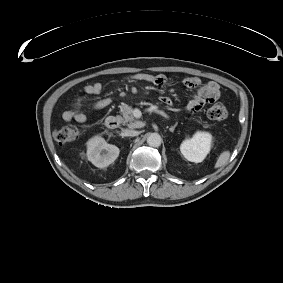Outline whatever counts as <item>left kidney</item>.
<instances>
[{"instance_id": "1", "label": "left kidney", "mask_w": 283, "mask_h": 283, "mask_svg": "<svg viewBox=\"0 0 283 283\" xmlns=\"http://www.w3.org/2000/svg\"><path fill=\"white\" fill-rule=\"evenodd\" d=\"M212 136L207 132H196L191 139H186L180 146L183 156L191 162H202L211 148Z\"/></svg>"}]
</instances>
